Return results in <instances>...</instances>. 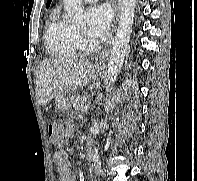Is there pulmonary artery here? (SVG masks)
I'll list each match as a JSON object with an SVG mask.
<instances>
[{
	"label": "pulmonary artery",
	"instance_id": "pulmonary-artery-1",
	"mask_svg": "<svg viewBox=\"0 0 197 181\" xmlns=\"http://www.w3.org/2000/svg\"><path fill=\"white\" fill-rule=\"evenodd\" d=\"M85 2H94V1H97V0H84Z\"/></svg>",
	"mask_w": 197,
	"mask_h": 181
}]
</instances>
